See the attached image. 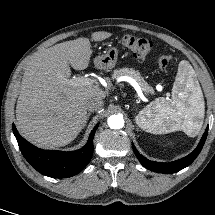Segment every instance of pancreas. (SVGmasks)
<instances>
[{
	"label": "pancreas",
	"mask_w": 215,
	"mask_h": 215,
	"mask_svg": "<svg viewBox=\"0 0 215 215\" xmlns=\"http://www.w3.org/2000/svg\"><path fill=\"white\" fill-rule=\"evenodd\" d=\"M121 76H128L132 79H134L138 85L142 88L143 91L145 92H152L153 89L144 81V79L141 77L140 73L138 71H135L134 69H129V68H123V69H118L115 70L112 78L117 79Z\"/></svg>",
	"instance_id": "cf45deb5"
}]
</instances>
